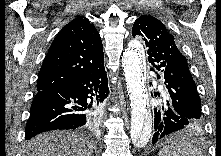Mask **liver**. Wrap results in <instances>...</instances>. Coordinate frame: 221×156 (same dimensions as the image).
Returning <instances> with one entry per match:
<instances>
[{"label": "liver", "instance_id": "obj_1", "mask_svg": "<svg viewBox=\"0 0 221 156\" xmlns=\"http://www.w3.org/2000/svg\"><path fill=\"white\" fill-rule=\"evenodd\" d=\"M93 144L70 131H53L37 135L26 142L23 156H92Z\"/></svg>", "mask_w": 221, "mask_h": 156}]
</instances>
